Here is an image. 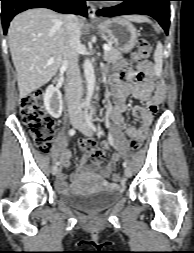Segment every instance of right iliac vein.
<instances>
[{"label":"right iliac vein","mask_w":194,"mask_h":253,"mask_svg":"<svg viewBox=\"0 0 194 253\" xmlns=\"http://www.w3.org/2000/svg\"><path fill=\"white\" fill-rule=\"evenodd\" d=\"M71 123H72V125L74 127H78V125H79L80 122H79L78 119H74V120L71 121ZM51 172H52L53 175H56L59 172L58 167L57 166H53L52 169H51Z\"/></svg>","instance_id":"63e3f726"}]
</instances>
